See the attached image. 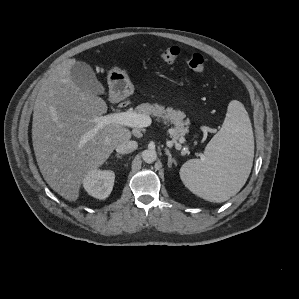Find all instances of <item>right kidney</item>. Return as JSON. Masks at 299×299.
<instances>
[{
	"mask_svg": "<svg viewBox=\"0 0 299 299\" xmlns=\"http://www.w3.org/2000/svg\"><path fill=\"white\" fill-rule=\"evenodd\" d=\"M114 179L113 171L94 169L84 177L83 186L89 195L98 199H106L113 189Z\"/></svg>",
	"mask_w": 299,
	"mask_h": 299,
	"instance_id": "obj_1",
	"label": "right kidney"
}]
</instances>
